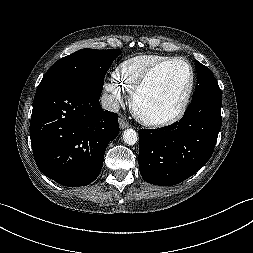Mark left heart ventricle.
Wrapping results in <instances>:
<instances>
[{"label":"left heart ventricle","instance_id":"1","mask_svg":"<svg viewBox=\"0 0 253 253\" xmlns=\"http://www.w3.org/2000/svg\"><path fill=\"white\" fill-rule=\"evenodd\" d=\"M189 85V70L174 62L157 70L138 98L140 112L148 117H167L180 106Z\"/></svg>","mask_w":253,"mask_h":253}]
</instances>
